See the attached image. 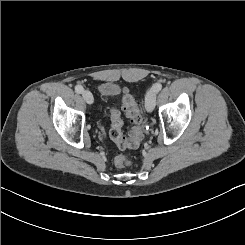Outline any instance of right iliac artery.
<instances>
[{"label": "right iliac artery", "instance_id": "right-iliac-artery-1", "mask_svg": "<svg viewBox=\"0 0 245 245\" xmlns=\"http://www.w3.org/2000/svg\"><path fill=\"white\" fill-rule=\"evenodd\" d=\"M75 91H76L77 93H82V92L84 91V88H83L81 85H77V86L75 87Z\"/></svg>", "mask_w": 245, "mask_h": 245}]
</instances>
